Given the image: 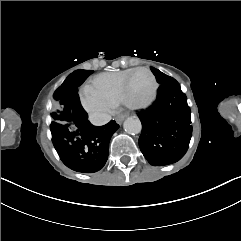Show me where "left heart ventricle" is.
<instances>
[{
	"label": "left heart ventricle",
	"mask_w": 241,
	"mask_h": 241,
	"mask_svg": "<svg viewBox=\"0 0 241 241\" xmlns=\"http://www.w3.org/2000/svg\"><path fill=\"white\" fill-rule=\"evenodd\" d=\"M153 96V87L150 79L143 75H137L133 78L129 86L128 104L136 107L142 102L149 101Z\"/></svg>",
	"instance_id": "obj_1"
}]
</instances>
